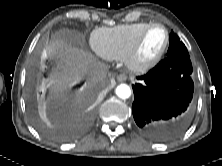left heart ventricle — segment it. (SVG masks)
Wrapping results in <instances>:
<instances>
[{
	"mask_svg": "<svg viewBox=\"0 0 222 166\" xmlns=\"http://www.w3.org/2000/svg\"><path fill=\"white\" fill-rule=\"evenodd\" d=\"M165 41V33L161 28L151 29L144 37L138 51V58L147 61L153 58L162 48Z\"/></svg>",
	"mask_w": 222,
	"mask_h": 166,
	"instance_id": "b2bd125f",
	"label": "left heart ventricle"
}]
</instances>
